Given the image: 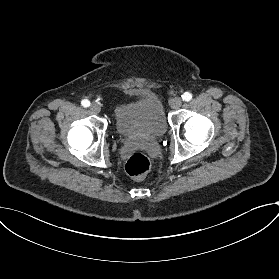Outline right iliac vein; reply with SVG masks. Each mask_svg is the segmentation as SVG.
<instances>
[{
	"label": "right iliac vein",
	"instance_id": "right-iliac-vein-1",
	"mask_svg": "<svg viewBox=\"0 0 279 279\" xmlns=\"http://www.w3.org/2000/svg\"><path fill=\"white\" fill-rule=\"evenodd\" d=\"M90 111L94 114H98L101 111V105L97 102H94L90 105Z\"/></svg>",
	"mask_w": 279,
	"mask_h": 279
}]
</instances>
